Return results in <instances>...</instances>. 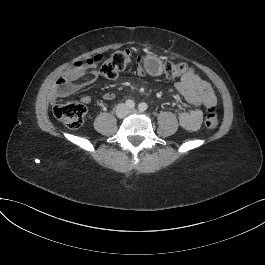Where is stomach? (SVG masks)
I'll use <instances>...</instances> for the list:
<instances>
[{"label":"stomach","instance_id":"obj_1","mask_svg":"<svg viewBox=\"0 0 265 265\" xmlns=\"http://www.w3.org/2000/svg\"><path fill=\"white\" fill-rule=\"evenodd\" d=\"M144 66L151 75L158 76L162 73V62L156 56H148L144 61Z\"/></svg>","mask_w":265,"mask_h":265}]
</instances>
